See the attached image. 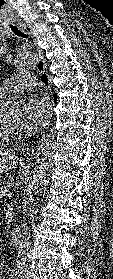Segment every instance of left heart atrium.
I'll use <instances>...</instances> for the list:
<instances>
[{"label":"left heart atrium","instance_id":"1","mask_svg":"<svg viewBox=\"0 0 113 279\" xmlns=\"http://www.w3.org/2000/svg\"><path fill=\"white\" fill-rule=\"evenodd\" d=\"M50 102L45 97H31L22 111L21 128L27 132L44 127L50 117Z\"/></svg>","mask_w":113,"mask_h":279}]
</instances>
